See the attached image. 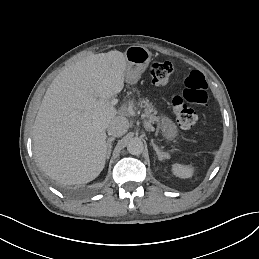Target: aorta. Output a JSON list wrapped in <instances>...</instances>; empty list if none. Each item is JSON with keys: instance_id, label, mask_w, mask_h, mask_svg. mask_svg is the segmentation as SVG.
I'll return each mask as SVG.
<instances>
[{"instance_id": "obj_1", "label": "aorta", "mask_w": 259, "mask_h": 259, "mask_svg": "<svg viewBox=\"0 0 259 259\" xmlns=\"http://www.w3.org/2000/svg\"><path fill=\"white\" fill-rule=\"evenodd\" d=\"M127 150L132 155H140L144 150L143 142L140 139L133 138L128 142Z\"/></svg>"}]
</instances>
